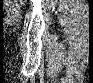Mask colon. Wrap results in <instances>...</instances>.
<instances>
[{
    "label": "colon",
    "instance_id": "5ec220e1",
    "mask_svg": "<svg viewBox=\"0 0 93 83\" xmlns=\"http://www.w3.org/2000/svg\"><path fill=\"white\" fill-rule=\"evenodd\" d=\"M6 3L11 4V5H19V4L23 3V2L8 1V2H6Z\"/></svg>",
    "mask_w": 93,
    "mask_h": 83
}]
</instances>
